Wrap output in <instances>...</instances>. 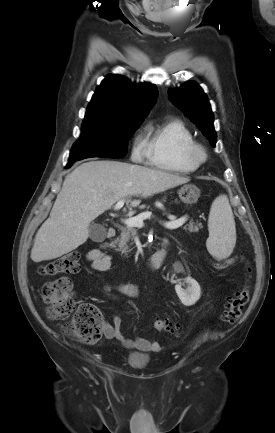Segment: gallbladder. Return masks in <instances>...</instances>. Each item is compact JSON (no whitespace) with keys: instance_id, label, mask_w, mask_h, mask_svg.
Returning a JSON list of instances; mask_svg holds the SVG:
<instances>
[{"instance_id":"obj_1","label":"gallbladder","mask_w":275,"mask_h":433,"mask_svg":"<svg viewBox=\"0 0 275 433\" xmlns=\"http://www.w3.org/2000/svg\"><path fill=\"white\" fill-rule=\"evenodd\" d=\"M106 229L100 224H91L89 227V236L92 240L98 241L105 237Z\"/></svg>"}]
</instances>
